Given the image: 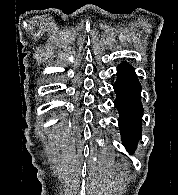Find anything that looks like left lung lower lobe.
Instances as JSON below:
<instances>
[{"label":"left lung lower lobe","mask_w":178,"mask_h":195,"mask_svg":"<svg viewBox=\"0 0 178 195\" xmlns=\"http://www.w3.org/2000/svg\"><path fill=\"white\" fill-rule=\"evenodd\" d=\"M141 86L133 68L126 63L117 69V81L114 91L117 94L114 102L119 111V126L122 141L127 151L132 152L136 148L141 133V120L143 107L141 105Z\"/></svg>","instance_id":"obj_1"}]
</instances>
